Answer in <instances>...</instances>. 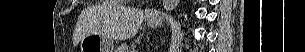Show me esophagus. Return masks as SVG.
I'll use <instances>...</instances> for the list:
<instances>
[{"label":"esophagus","instance_id":"34e87169","mask_svg":"<svg viewBox=\"0 0 305 52\" xmlns=\"http://www.w3.org/2000/svg\"><path fill=\"white\" fill-rule=\"evenodd\" d=\"M156 16V13L155 12H150L149 14H148V17H150V18H154Z\"/></svg>","mask_w":305,"mask_h":52}]
</instances>
